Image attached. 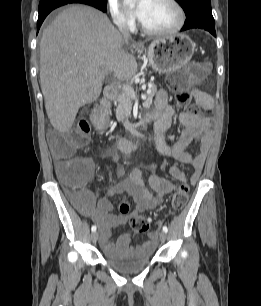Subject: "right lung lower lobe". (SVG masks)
<instances>
[{
	"label": "right lung lower lobe",
	"mask_w": 261,
	"mask_h": 306,
	"mask_svg": "<svg viewBox=\"0 0 261 306\" xmlns=\"http://www.w3.org/2000/svg\"><path fill=\"white\" fill-rule=\"evenodd\" d=\"M68 3H83L98 8L103 12H106L105 6L90 2L88 0H40L39 9H38L39 16L37 21V31H39L40 26L43 23L44 19L52 10Z\"/></svg>",
	"instance_id": "right-lung-lower-lobe-1"
}]
</instances>
